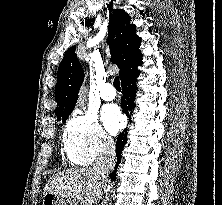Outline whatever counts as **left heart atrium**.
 <instances>
[{
	"label": "left heart atrium",
	"instance_id": "obj_1",
	"mask_svg": "<svg viewBox=\"0 0 222 205\" xmlns=\"http://www.w3.org/2000/svg\"><path fill=\"white\" fill-rule=\"evenodd\" d=\"M102 120L105 128L112 134L116 133L123 124V117L116 105H107L103 108Z\"/></svg>",
	"mask_w": 222,
	"mask_h": 205
}]
</instances>
